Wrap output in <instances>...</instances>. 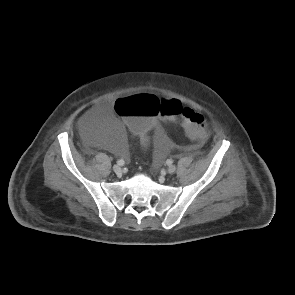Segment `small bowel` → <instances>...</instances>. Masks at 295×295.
Masks as SVG:
<instances>
[{"label": "small bowel", "mask_w": 295, "mask_h": 295, "mask_svg": "<svg viewBox=\"0 0 295 295\" xmlns=\"http://www.w3.org/2000/svg\"><path fill=\"white\" fill-rule=\"evenodd\" d=\"M161 119L163 120L162 116H161ZM150 130H154L157 140L158 139H163V140L166 141L165 135L163 133V129H162L158 119H157V122L151 127Z\"/></svg>", "instance_id": "c3829d8e"}]
</instances>
